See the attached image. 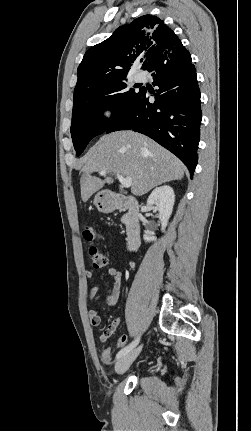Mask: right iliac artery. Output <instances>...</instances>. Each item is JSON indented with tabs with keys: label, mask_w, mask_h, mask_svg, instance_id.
Returning <instances> with one entry per match:
<instances>
[{
	"label": "right iliac artery",
	"mask_w": 251,
	"mask_h": 431,
	"mask_svg": "<svg viewBox=\"0 0 251 431\" xmlns=\"http://www.w3.org/2000/svg\"><path fill=\"white\" fill-rule=\"evenodd\" d=\"M139 342V337H137L132 343L121 349L118 354L116 355V358L119 359L126 355L128 352H130Z\"/></svg>",
	"instance_id": "right-iliac-artery-1"
}]
</instances>
